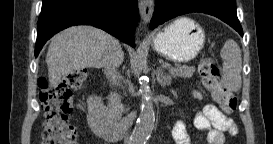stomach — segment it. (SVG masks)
<instances>
[{"label": "stomach", "instance_id": "stomach-1", "mask_svg": "<svg viewBox=\"0 0 273 144\" xmlns=\"http://www.w3.org/2000/svg\"><path fill=\"white\" fill-rule=\"evenodd\" d=\"M204 43L203 28L187 17L176 19L151 39V45L158 54L176 63L194 59Z\"/></svg>", "mask_w": 273, "mask_h": 144}]
</instances>
